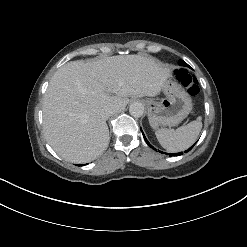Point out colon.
I'll return each instance as SVG.
<instances>
[{
    "instance_id": "colon-1",
    "label": "colon",
    "mask_w": 247,
    "mask_h": 247,
    "mask_svg": "<svg viewBox=\"0 0 247 247\" xmlns=\"http://www.w3.org/2000/svg\"><path fill=\"white\" fill-rule=\"evenodd\" d=\"M175 74L177 80L189 95L196 96L199 93L198 81L194 75L183 69L176 70Z\"/></svg>"
}]
</instances>
